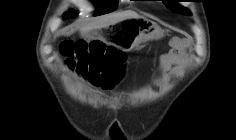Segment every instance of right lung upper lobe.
I'll return each mask as SVG.
<instances>
[{
	"label": "right lung upper lobe",
	"mask_w": 236,
	"mask_h": 140,
	"mask_svg": "<svg viewBox=\"0 0 236 140\" xmlns=\"http://www.w3.org/2000/svg\"><path fill=\"white\" fill-rule=\"evenodd\" d=\"M97 1H118V0H97Z\"/></svg>",
	"instance_id": "obj_1"
}]
</instances>
